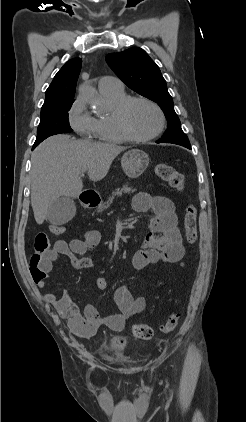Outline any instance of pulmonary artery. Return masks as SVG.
I'll return each instance as SVG.
<instances>
[{
	"label": "pulmonary artery",
	"mask_w": 246,
	"mask_h": 422,
	"mask_svg": "<svg viewBox=\"0 0 246 422\" xmlns=\"http://www.w3.org/2000/svg\"><path fill=\"white\" fill-rule=\"evenodd\" d=\"M98 87L100 91H119L123 90L122 82L112 76L101 77L98 82Z\"/></svg>",
	"instance_id": "pulmonary-artery-1"
}]
</instances>
